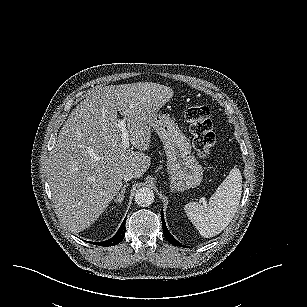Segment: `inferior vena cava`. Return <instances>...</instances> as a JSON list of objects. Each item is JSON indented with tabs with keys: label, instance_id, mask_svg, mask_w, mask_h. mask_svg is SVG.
I'll return each mask as SVG.
<instances>
[{
	"label": "inferior vena cava",
	"instance_id": "obj_1",
	"mask_svg": "<svg viewBox=\"0 0 307 307\" xmlns=\"http://www.w3.org/2000/svg\"><path fill=\"white\" fill-rule=\"evenodd\" d=\"M132 178H134V174L132 172H128L123 176L125 182L130 181Z\"/></svg>",
	"mask_w": 307,
	"mask_h": 307
}]
</instances>
